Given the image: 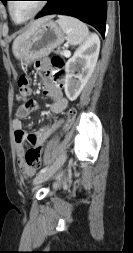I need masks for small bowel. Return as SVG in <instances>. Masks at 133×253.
I'll list each match as a JSON object with an SVG mask.
<instances>
[{
    "mask_svg": "<svg viewBox=\"0 0 133 253\" xmlns=\"http://www.w3.org/2000/svg\"><path fill=\"white\" fill-rule=\"evenodd\" d=\"M36 70L42 78L44 95L52 99L51 111L55 114L63 113L69 101L62 92L63 82L60 73L51 67L47 58L36 62ZM23 100L24 104L18 107L15 118L12 121V127L15 133L19 168L25 175L32 176L35 173V169L29 166L26 161L27 151L25 144L29 143L33 148H41L48 137L64 124V120L60 119L53 125L43 126L38 130L27 132L23 128L22 120L37 110V105L34 103V97H24Z\"/></svg>",
    "mask_w": 133,
    "mask_h": 253,
    "instance_id": "c3829d8e",
    "label": "small bowel"
}]
</instances>
